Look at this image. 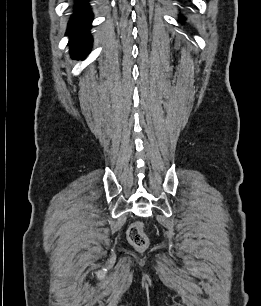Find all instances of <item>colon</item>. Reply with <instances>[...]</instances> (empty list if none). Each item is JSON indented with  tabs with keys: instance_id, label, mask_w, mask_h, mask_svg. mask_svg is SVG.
Returning <instances> with one entry per match:
<instances>
[{
	"instance_id": "1",
	"label": "colon",
	"mask_w": 261,
	"mask_h": 306,
	"mask_svg": "<svg viewBox=\"0 0 261 306\" xmlns=\"http://www.w3.org/2000/svg\"><path fill=\"white\" fill-rule=\"evenodd\" d=\"M128 240L138 250H143L148 245V238L145 234L143 224L133 223L128 229Z\"/></svg>"
}]
</instances>
